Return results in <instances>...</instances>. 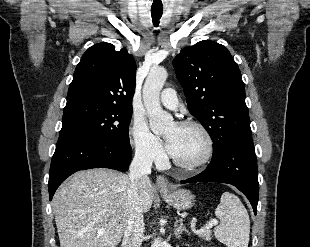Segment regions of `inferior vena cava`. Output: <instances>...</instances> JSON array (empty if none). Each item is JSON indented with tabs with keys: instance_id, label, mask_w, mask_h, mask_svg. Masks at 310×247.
<instances>
[{
	"instance_id": "602c4592",
	"label": "inferior vena cava",
	"mask_w": 310,
	"mask_h": 247,
	"mask_svg": "<svg viewBox=\"0 0 310 247\" xmlns=\"http://www.w3.org/2000/svg\"><path fill=\"white\" fill-rule=\"evenodd\" d=\"M153 154L143 148H136L135 156L129 167L127 182L128 214L123 242L126 247H140L143 238L144 219L141 206V194L143 187L151 173Z\"/></svg>"
}]
</instances>
